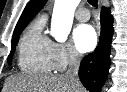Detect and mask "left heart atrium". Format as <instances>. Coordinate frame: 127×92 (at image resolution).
I'll return each instance as SVG.
<instances>
[{"instance_id":"1","label":"left heart atrium","mask_w":127,"mask_h":92,"mask_svg":"<svg viewBox=\"0 0 127 92\" xmlns=\"http://www.w3.org/2000/svg\"><path fill=\"white\" fill-rule=\"evenodd\" d=\"M73 39L76 48L82 53L93 50L97 44L96 32L89 24L79 25L73 33Z\"/></svg>"}]
</instances>
